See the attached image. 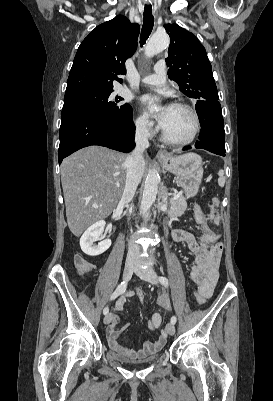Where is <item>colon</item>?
I'll return each instance as SVG.
<instances>
[{
    "mask_svg": "<svg viewBox=\"0 0 273 401\" xmlns=\"http://www.w3.org/2000/svg\"><path fill=\"white\" fill-rule=\"evenodd\" d=\"M218 200L217 198H213V205H217ZM77 263V270L76 273L79 276H82L84 274H89V270H93L95 267V264L93 261H88L86 257H78L76 260ZM191 279L193 281H197V282H204L206 280V275L204 273H197V274H193L191 276ZM137 292L139 293L137 295V300L140 306H143L145 303V297H146V292L144 291V289L142 287H139L137 289Z\"/></svg>",
    "mask_w": 273,
    "mask_h": 401,
    "instance_id": "colon-1",
    "label": "colon"
}]
</instances>
